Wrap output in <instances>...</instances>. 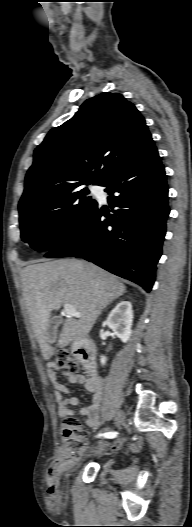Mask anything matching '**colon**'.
Returning a JSON list of instances; mask_svg holds the SVG:
<instances>
[{"mask_svg":"<svg viewBox=\"0 0 192 527\" xmlns=\"http://www.w3.org/2000/svg\"><path fill=\"white\" fill-rule=\"evenodd\" d=\"M55 363L60 368L72 374H80V361L68 352H60L55 359ZM60 435L65 453L72 457H80L88 446V431L82 427L80 422L73 417H66Z\"/></svg>","mask_w":192,"mask_h":527,"instance_id":"1","label":"colon"}]
</instances>
